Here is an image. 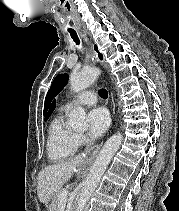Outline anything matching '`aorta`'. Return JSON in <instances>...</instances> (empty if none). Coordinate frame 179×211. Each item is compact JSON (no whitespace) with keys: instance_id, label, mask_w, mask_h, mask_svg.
Returning <instances> with one entry per match:
<instances>
[{"instance_id":"762f6f07","label":"aorta","mask_w":179,"mask_h":211,"mask_svg":"<svg viewBox=\"0 0 179 211\" xmlns=\"http://www.w3.org/2000/svg\"><path fill=\"white\" fill-rule=\"evenodd\" d=\"M100 70L98 68L84 69L80 72H73L70 76L69 83L74 92L86 89L98 78ZM69 124L74 129H85L86 113L85 110L78 106L69 114ZM122 134L116 133L112 135L99 152L95 162L93 163L89 175L84 183L82 192L78 199L76 211H84L90 196L98 186L102 175L104 174L111 158L120 148L122 143Z\"/></svg>"}]
</instances>
